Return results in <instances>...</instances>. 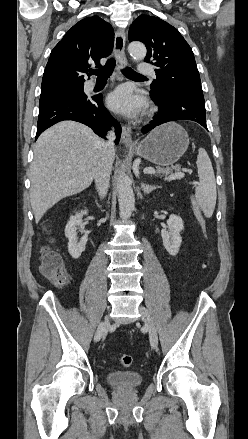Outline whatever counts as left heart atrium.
Here are the masks:
<instances>
[{"label":"left heart atrium","mask_w":248,"mask_h":439,"mask_svg":"<svg viewBox=\"0 0 248 439\" xmlns=\"http://www.w3.org/2000/svg\"><path fill=\"white\" fill-rule=\"evenodd\" d=\"M107 106L114 112L134 117L144 108L142 98L136 96L128 86H121L107 97Z\"/></svg>","instance_id":"left-heart-atrium-1"}]
</instances>
